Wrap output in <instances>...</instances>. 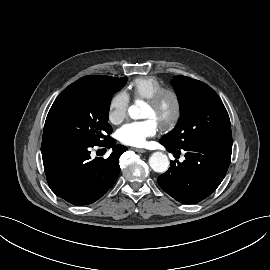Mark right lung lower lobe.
<instances>
[{
	"label": "right lung lower lobe",
	"mask_w": 270,
	"mask_h": 270,
	"mask_svg": "<svg viewBox=\"0 0 270 270\" xmlns=\"http://www.w3.org/2000/svg\"><path fill=\"white\" fill-rule=\"evenodd\" d=\"M109 137L103 144L113 147L107 159L90 157L93 146L69 142L42 143L44 170L50 189L73 205H87L101 198L117 180L119 157L127 149Z\"/></svg>",
	"instance_id": "obj_1"
}]
</instances>
